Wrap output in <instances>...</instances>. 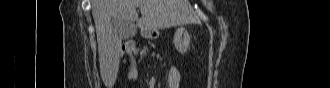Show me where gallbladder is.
I'll use <instances>...</instances> for the list:
<instances>
[{
  "label": "gallbladder",
  "mask_w": 330,
  "mask_h": 88,
  "mask_svg": "<svg viewBox=\"0 0 330 88\" xmlns=\"http://www.w3.org/2000/svg\"><path fill=\"white\" fill-rule=\"evenodd\" d=\"M113 27L125 40L131 39L136 34V26L132 22L116 20Z\"/></svg>",
  "instance_id": "gallbladder-1"
}]
</instances>
